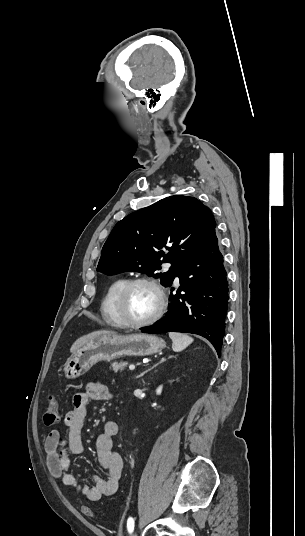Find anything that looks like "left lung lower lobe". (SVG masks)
<instances>
[{
	"label": "left lung lower lobe",
	"mask_w": 305,
	"mask_h": 536,
	"mask_svg": "<svg viewBox=\"0 0 305 536\" xmlns=\"http://www.w3.org/2000/svg\"><path fill=\"white\" fill-rule=\"evenodd\" d=\"M215 231L205 244L178 268L181 286L170 294L169 311L144 333H194L208 339L220 356L225 335L228 282ZM174 288L171 289L173 291ZM183 291V293H181Z\"/></svg>",
	"instance_id": "0a47b994"
}]
</instances>
